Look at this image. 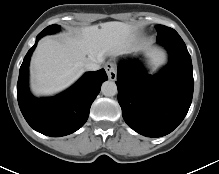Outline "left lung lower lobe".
<instances>
[{
	"label": "left lung lower lobe",
	"instance_id": "obj_1",
	"mask_svg": "<svg viewBox=\"0 0 219 174\" xmlns=\"http://www.w3.org/2000/svg\"><path fill=\"white\" fill-rule=\"evenodd\" d=\"M169 53V64L150 76L137 60L119 63L116 85L125 122L147 137L172 132L184 119L193 97L191 56L182 38L158 41Z\"/></svg>",
	"mask_w": 219,
	"mask_h": 174
}]
</instances>
